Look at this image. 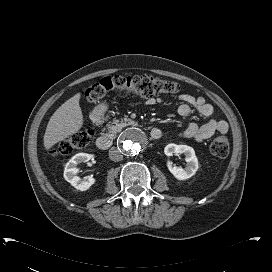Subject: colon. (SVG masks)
<instances>
[{
	"instance_id": "obj_1",
	"label": "colon",
	"mask_w": 272,
	"mask_h": 272,
	"mask_svg": "<svg viewBox=\"0 0 272 272\" xmlns=\"http://www.w3.org/2000/svg\"><path fill=\"white\" fill-rule=\"evenodd\" d=\"M125 91L145 98L158 95L174 94L178 91L176 82L153 77L148 74L136 76H108L93 84L87 91L89 102H97L112 91ZM91 129L80 130L63 140L53 151L55 155H66L74 149L85 147L91 140ZM230 149L229 140L225 135H217L210 144L214 156L225 157Z\"/></svg>"
}]
</instances>
